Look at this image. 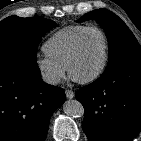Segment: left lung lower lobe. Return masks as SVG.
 <instances>
[{"mask_svg":"<svg viewBox=\"0 0 141 141\" xmlns=\"http://www.w3.org/2000/svg\"><path fill=\"white\" fill-rule=\"evenodd\" d=\"M75 97L84 106L90 141H131L141 130V63L103 73Z\"/></svg>","mask_w":141,"mask_h":141,"instance_id":"0a47b994","label":"left lung lower lobe"}]
</instances>
